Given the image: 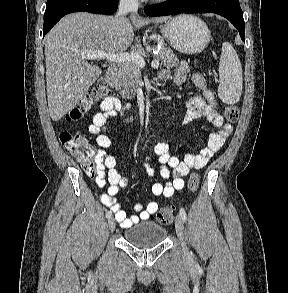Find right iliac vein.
<instances>
[{
	"instance_id": "63e3f726",
	"label": "right iliac vein",
	"mask_w": 288,
	"mask_h": 293,
	"mask_svg": "<svg viewBox=\"0 0 288 293\" xmlns=\"http://www.w3.org/2000/svg\"><path fill=\"white\" fill-rule=\"evenodd\" d=\"M108 229L113 232V230L115 229V220L113 217H109L108 218Z\"/></svg>"
}]
</instances>
